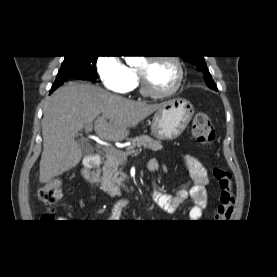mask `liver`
Wrapping results in <instances>:
<instances>
[{
  "instance_id": "6515ba94",
  "label": "liver",
  "mask_w": 277,
  "mask_h": 277,
  "mask_svg": "<svg viewBox=\"0 0 277 277\" xmlns=\"http://www.w3.org/2000/svg\"><path fill=\"white\" fill-rule=\"evenodd\" d=\"M160 107L115 96L91 84L70 82L60 87L44 107L40 182H50L79 164L82 150L75 136L83 127L94 123L100 139L121 141L130 128Z\"/></svg>"
}]
</instances>
